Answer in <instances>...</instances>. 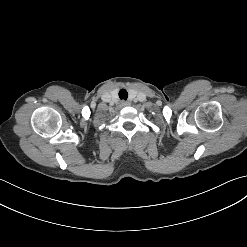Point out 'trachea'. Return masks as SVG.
I'll return each mask as SVG.
<instances>
[{
    "mask_svg": "<svg viewBox=\"0 0 247 247\" xmlns=\"http://www.w3.org/2000/svg\"><path fill=\"white\" fill-rule=\"evenodd\" d=\"M119 98L121 100H127V98H128V92L126 91V89H121L119 91Z\"/></svg>",
    "mask_w": 247,
    "mask_h": 247,
    "instance_id": "obj_1",
    "label": "trachea"
}]
</instances>
